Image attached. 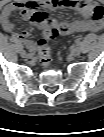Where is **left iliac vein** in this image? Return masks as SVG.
<instances>
[{"mask_svg":"<svg viewBox=\"0 0 104 137\" xmlns=\"http://www.w3.org/2000/svg\"><path fill=\"white\" fill-rule=\"evenodd\" d=\"M72 53H73L75 56H78V55H80V53H81V49H80L79 47H74V48L72 49Z\"/></svg>","mask_w":104,"mask_h":137,"instance_id":"4c4485c4","label":"left iliac vein"}]
</instances>
